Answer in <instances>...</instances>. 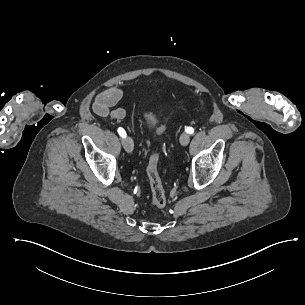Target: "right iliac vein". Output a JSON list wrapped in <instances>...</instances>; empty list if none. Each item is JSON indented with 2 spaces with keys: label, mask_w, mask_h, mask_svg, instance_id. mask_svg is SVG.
Listing matches in <instances>:
<instances>
[{
  "label": "right iliac vein",
  "mask_w": 305,
  "mask_h": 305,
  "mask_svg": "<svg viewBox=\"0 0 305 305\" xmlns=\"http://www.w3.org/2000/svg\"><path fill=\"white\" fill-rule=\"evenodd\" d=\"M123 146L128 153H131L134 148L133 140L130 137H126L122 140Z\"/></svg>",
  "instance_id": "right-iliac-vein-1"
}]
</instances>
